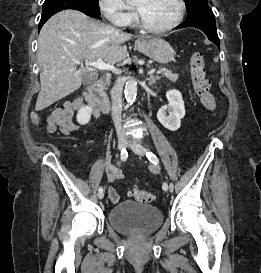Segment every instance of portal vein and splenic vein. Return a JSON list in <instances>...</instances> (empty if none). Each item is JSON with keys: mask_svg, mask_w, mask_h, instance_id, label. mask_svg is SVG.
Here are the masks:
<instances>
[{"mask_svg": "<svg viewBox=\"0 0 261 273\" xmlns=\"http://www.w3.org/2000/svg\"><path fill=\"white\" fill-rule=\"evenodd\" d=\"M77 64H80V62H77ZM85 65L86 67H95L99 70H110L113 71L116 74H120L121 71L119 69H117L114 65L112 64H108V63H104L101 59H98L96 62H89V61H85ZM164 70H158L157 73H161Z\"/></svg>", "mask_w": 261, "mask_h": 273, "instance_id": "18ae733b", "label": "portal vein and splenic vein"}]
</instances>
